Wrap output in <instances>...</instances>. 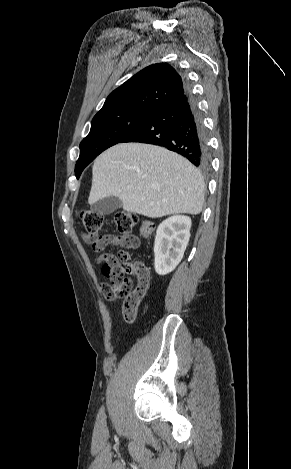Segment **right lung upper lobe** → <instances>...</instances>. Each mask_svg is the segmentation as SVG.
Returning a JSON list of instances; mask_svg holds the SVG:
<instances>
[{"label":"right lung upper lobe","mask_w":291,"mask_h":469,"mask_svg":"<svg viewBox=\"0 0 291 469\" xmlns=\"http://www.w3.org/2000/svg\"><path fill=\"white\" fill-rule=\"evenodd\" d=\"M185 91L184 78L167 63L150 65L120 87L106 99L95 117L125 110L156 111L174 96Z\"/></svg>","instance_id":"right-lung-upper-lobe-1"}]
</instances>
